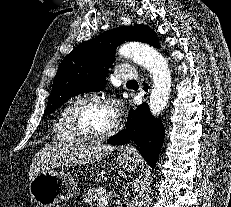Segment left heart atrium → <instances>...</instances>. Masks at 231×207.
Segmentation results:
<instances>
[{
    "label": "left heart atrium",
    "instance_id": "1",
    "mask_svg": "<svg viewBox=\"0 0 231 207\" xmlns=\"http://www.w3.org/2000/svg\"><path fill=\"white\" fill-rule=\"evenodd\" d=\"M112 111L114 112L115 115H117V113H118V107H117V105L112 106Z\"/></svg>",
    "mask_w": 231,
    "mask_h": 207
}]
</instances>
